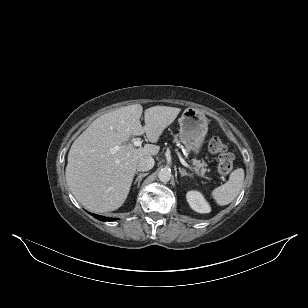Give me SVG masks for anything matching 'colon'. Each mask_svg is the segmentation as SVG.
<instances>
[{"label": "colon", "mask_w": 308, "mask_h": 308, "mask_svg": "<svg viewBox=\"0 0 308 308\" xmlns=\"http://www.w3.org/2000/svg\"><path fill=\"white\" fill-rule=\"evenodd\" d=\"M208 149L211 154L218 156L217 170L221 175H227L233 169V154L228 150L227 145L218 137L209 140Z\"/></svg>", "instance_id": "5ec220e1"}]
</instances>
